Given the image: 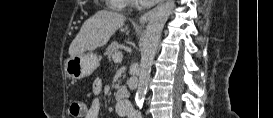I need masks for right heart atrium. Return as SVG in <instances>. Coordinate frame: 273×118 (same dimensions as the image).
<instances>
[{
  "label": "right heart atrium",
  "instance_id": "d8ad5b80",
  "mask_svg": "<svg viewBox=\"0 0 273 118\" xmlns=\"http://www.w3.org/2000/svg\"><path fill=\"white\" fill-rule=\"evenodd\" d=\"M126 3H127L128 6H131L133 4V1L132 0H128V1H126Z\"/></svg>",
  "mask_w": 273,
  "mask_h": 118
}]
</instances>
